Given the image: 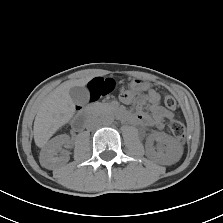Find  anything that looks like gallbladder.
<instances>
[{"label": "gallbladder", "mask_w": 223, "mask_h": 223, "mask_svg": "<svg viewBox=\"0 0 223 223\" xmlns=\"http://www.w3.org/2000/svg\"><path fill=\"white\" fill-rule=\"evenodd\" d=\"M69 94L76 104H86L89 100V91L84 86H74L70 89Z\"/></svg>", "instance_id": "bac80fb5"}]
</instances>
